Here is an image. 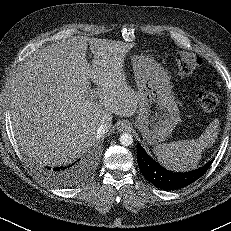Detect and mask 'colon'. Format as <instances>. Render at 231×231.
Masks as SVG:
<instances>
[{
  "mask_svg": "<svg viewBox=\"0 0 231 231\" xmlns=\"http://www.w3.org/2000/svg\"><path fill=\"white\" fill-rule=\"evenodd\" d=\"M176 63L178 73L181 76H186L194 72L200 66L201 59L194 53L181 52L176 56ZM197 100L204 110H213L218 104L217 94L206 88H203L198 92Z\"/></svg>",
  "mask_w": 231,
  "mask_h": 231,
  "instance_id": "5ec220e1",
  "label": "colon"
}]
</instances>
